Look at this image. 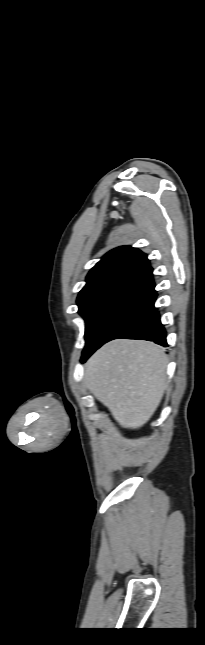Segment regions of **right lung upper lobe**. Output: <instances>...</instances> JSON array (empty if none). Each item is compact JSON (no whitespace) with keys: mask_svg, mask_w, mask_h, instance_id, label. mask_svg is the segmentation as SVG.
Returning <instances> with one entry per match:
<instances>
[{"mask_svg":"<svg viewBox=\"0 0 205 645\" xmlns=\"http://www.w3.org/2000/svg\"><path fill=\"white\" fill-rule=\"evenodd\" d=\"M86 281L78 295V304L121 289L151 291L155 287L152 267L146 254L130 246H121L108 252L91 269Z\"/></svg>","mask_w":205,"mask_h":645,"instance_id":"obj_1","label":"right lung upper lobe"}]
</instances>
